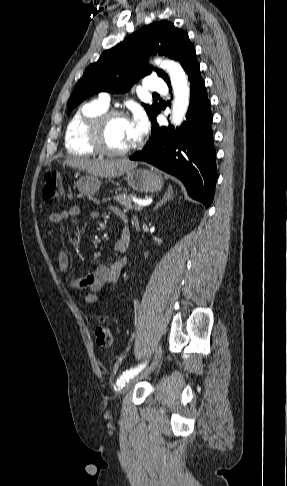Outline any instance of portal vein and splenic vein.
<instances>
[{
    "label": "portal vein and splenic vein",
    "mask_w": 287,
    "mask_h": 486,
    "mask_svg": "<svg viewBox=\"0 0 287 486\" xmlns=\"http://www.w3.org/2000/svg\"><path fill=\"white\" fill-rule=\"evenodd\" d=\"M133 202L135 203V205L142 207V208L149 204L146 201H142V200H138V199H133Z\"/></svg>",
    "instance_id": "1"
}]
</instances>
